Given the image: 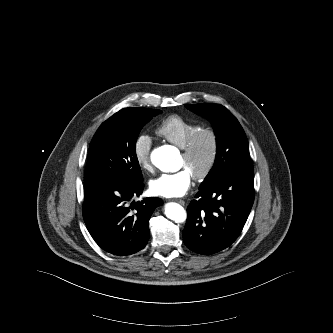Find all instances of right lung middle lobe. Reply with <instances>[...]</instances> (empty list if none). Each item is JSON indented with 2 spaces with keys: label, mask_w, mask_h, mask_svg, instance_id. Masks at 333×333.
Returning <instances> with one entry per match:
<instances>
[{
  "label": "right lung middle lobe",
  "mask_w": 333,
  "mask_h": 333,
  "mask_svg": "<svg viewBox=\"0 0 333 333\" xmlns=\"http://www.w3.org/2000/svg\"><path fill=\"white\" fill-rule=\"evenodd\" d=\"M159 113L157 109L125 108L106 120L89 146L85 179L143 182L136 141L142 127Z\"/></svg>",
  "instance_id": "obj_1"
}]
</instances>
